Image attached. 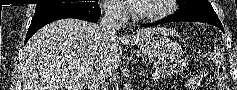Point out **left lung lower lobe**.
I'll return each mask as SVG.
<instances>
[{
	"label": "left lung lower lobe",
	"instance_id": "1",
	"mask_svg": "<svg viewBox=\"0 0 237 90\" xmlns=\"http://www.w3.org/2000/svg\"><path fill=\"white\" fill-rule=\"evenodd\" d=\"M178 21H193V22L209 23V24L217 26L219 29H221L224 32V29L220 21L205 20L201 18H196V17H192L188 15H180L176 13L174 15L166 17L162 21L151 23V24H144L142 25V27H149V26H155L158 24H163V23H168V22H178Z\"/></svg>",
	"mask_w": 237,
	"mask_h": 90
}]
</instances>
